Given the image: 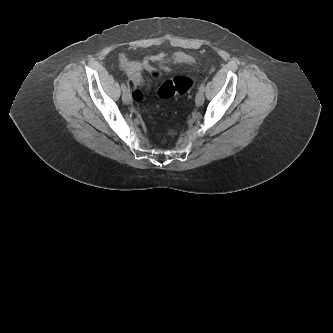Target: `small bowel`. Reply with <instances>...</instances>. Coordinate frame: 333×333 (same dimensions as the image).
Masks as SVG:
<instances>
[{
  "label": "small bowel",
  "instance_id": "c3829d8e",
  "mask_svg": "<svg viewBox=\"0 0 333 333\" xmlns=\"http://www.w3.org/2000/svg\"><path fill=\"white\" fill-rule=\"evenodd\" d=\"M119 67L125 72L134 88V99L140 101L143 99V92L138 89L144 86L145 80L142 72L146 71L151 80H158L162 73L171 71V63H192L193 58L184 52H158L146 56L140 61H131L125 55L119 56Z\"/></svg>",
  "mask_w": 333,
  "mask_h": 333
}]
</instances>
